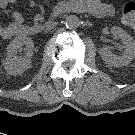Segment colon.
Returning <instances> with one entry per match:
<instances>
[{
	"instance_id": "1",
	"label": "colon",
	"mask_w": 135,
	"mask_h": 135,
	"mask_svg": "<svg viewBox=\"0 0 135 135\" xmlns=\"http://www.w3.org/2000/svg\"><path fill=\"white\" fill-rule=\"evenodd\" d=\"M122 20L135 32V2L126 3L122 8Z\"/></svg>"
}]
</instances>
